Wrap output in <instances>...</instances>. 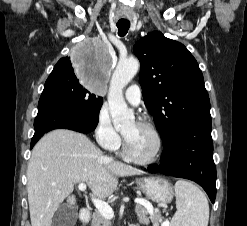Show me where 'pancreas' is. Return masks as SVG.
Returning <instances> with one entry per match:
<instances>
[{"mask_svg":"<svg viewBox=\"0 0 247 226\" xmlns=\"http://www.w3.org/2000/svg\"><path fill=\"white\" fill-rule=\"evenodd\" d=\"M135 212L138 216L139 222L142 224H148L150 220L154 224H157L161 221L160 213H155L152 216L147 217L149 212L145 207L141 205L136 206ZM91 226H111V220L108 218H105L99 211H95L92 215Z\"/></svg>","mask_w":247,"mask_h":226,"instance_id":"pancreas-1","label":"pancreas"}]
</instances>
